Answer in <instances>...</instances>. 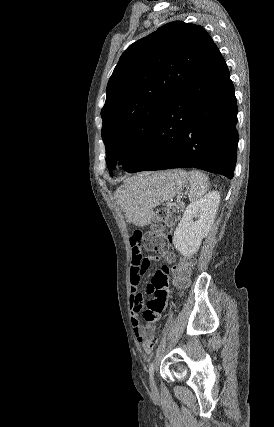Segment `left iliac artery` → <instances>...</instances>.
<instances>
[{
	"mask_svg": "<svg viewBox=\"0 0 274 427\" xmlns=\"http://www.w3.org/2000/svg\"><path fill=\"white\" fill-rule=\"evenodd\" d=\"M154 366H155V360L153 362L150 363L149 365V375H150V379L153 378V374H154Z\"/></svg>",
	"mask_w": 274,
	"mask_h": 427,
	"instance_id": "left-iliac-artery-1",
	"label": "left iliac artery"
}]
</instances>
